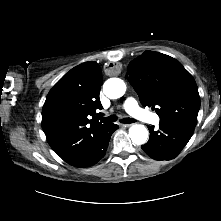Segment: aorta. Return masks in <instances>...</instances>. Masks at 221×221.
Wrapping results in <instances>:
<instances>
[{
	"mask_svg": "<svg viewBox=\"0 0 221 221\" xmlns=\"http://www.w3.org/2000/svg\"><path fill=\"white\" fill-rule=\"evenodd\" d=\"M126 85L119 78H110L103 85L104 94L110 99H117L124 95ZM129 137L136 145L144 144L148 139V130L144 125L135 124L129 129Z\"/></svg>",
	"mask_w": 221,
	"mask_h": 221,
	"instance_id": "aorta-1",
	"label": "aorta"
}]
</instances>
